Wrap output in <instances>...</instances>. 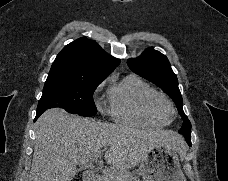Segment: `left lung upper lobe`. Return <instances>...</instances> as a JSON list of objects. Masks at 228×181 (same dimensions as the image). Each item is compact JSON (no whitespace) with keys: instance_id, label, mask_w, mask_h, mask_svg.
Here are the masks:
<instances>
[{"instance_id":"left-lung-upper-lobe-1","label":"left lung upper lobe","mask_w":228,"mask_h":181,"mask_svg":"<svg viewBox=\"0 0 228 181\" xmlns=\"http://www.w3.org/2000/svg\"><path fill=\"white\" fill-rule=\"evenodd\" d=\"M127 64L134 73L159 86L173 99L183 120L179 133L191 134V123L182 108L183 100L178 88V80L167 57L153 48H148L139 57L129 59Z\"/></svg>"}]
</instances>
